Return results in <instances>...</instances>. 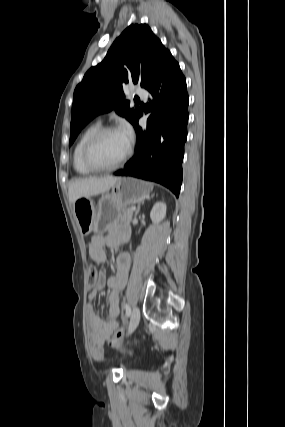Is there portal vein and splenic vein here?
<instances>
[{
	"label": "portal vein and splenic vein",
	"instance_id": "18ae733b",
	"mask_svg": "<svg viewBox=\"0 0 285 427\" xmlns=\"http://www.w3.org/2000/svg\"><path fill=\"white\" fill-rule=\"evenodd\" d=\"M131 210H132V211H134V210H135V207H134V206H132V207H131Z\"/></svg>",
	"mask_w": 285,
	"mask_h": 427
}]
</instances>
